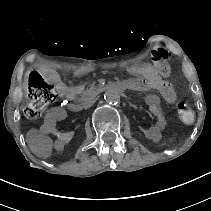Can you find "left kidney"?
Here are the masks:
<instances>
[{
	"label": "left kidney",
	"mask_w": 211,
	"mask_h": 211,
	"mask_svg": "<svg viewBox=\"0 0 211 211\" xmlns=\"http://www.w3.org/2000/svg\"><path fill=\"white\" fill-rule=\"evenodd\" d=\"M150 115L153 117V124L148 126L144 122H137L134 125V130L144 135L146 138H154L166 132L169 129V120L159 107H153L150 110Z\"/></svg>",
	"instance_id": "obj_1"
}]
</instances>
